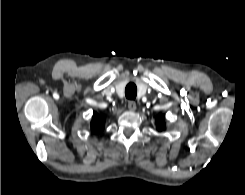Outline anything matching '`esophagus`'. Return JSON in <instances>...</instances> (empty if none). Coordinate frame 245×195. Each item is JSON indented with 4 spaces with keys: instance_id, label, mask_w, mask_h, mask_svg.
I'll return each instance as SVG.
<instances>
[{
    "instance_id": "34e87169",
    "label": "esophagus",
    "mask_w": 245,
    "mask_h": 195,
    "mask_svg": "<svg viewBox=\"0 0 245 195\" xmlns=\"http://www.w3.org/2000/svg\"><path fill=\"white\" fill-rule=\"evenodd\" d=\"M128 109L130 111H134L136 109V102L135 101H129L128 102Z\"/></svg>"
}]
</instances>
